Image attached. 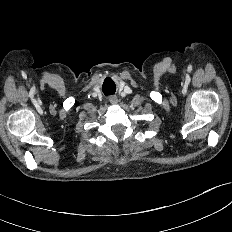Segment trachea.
Segmentation results:
<instances>
[{
    "instance_id": "obj_1",
    "label": "trachea",
    "mask_w": 232,
    "mask_h": 232,
    "mask_svg": "<svg viewBox=\"0 0 232 232\" xmlns=\"http://www.w3.org/2000/svg\"><path fill=\"white\" fill-rule=\"evenodd\" d=\"M103 92L105 95H110V94H114L115 90L108 88V89H105Z\"/></svg>"
}]
</instances>
